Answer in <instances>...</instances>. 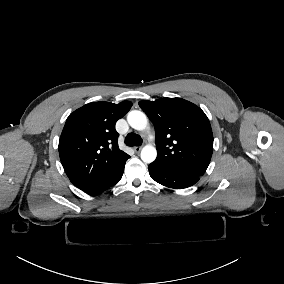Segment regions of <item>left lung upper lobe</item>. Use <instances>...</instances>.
I'll use <instances>...</instances> for the list:
<instances>
[{"instance_id": "5c2ea615", "label": "left lung upper lobe", "mask_w": 284, "mask_h": 284, "mask_svg": "<svg viewBox=\"0 0 284 284\" xmlns=\"http://www.w3.org/2000/svg\"><path fill=\"white\" fill-rule=\"evenodd\" d=\"M155 127L157 158L167 169L202 176L213 153V134L206 114L182 98L140 101Z\"/></svg>"}]
</instances>
